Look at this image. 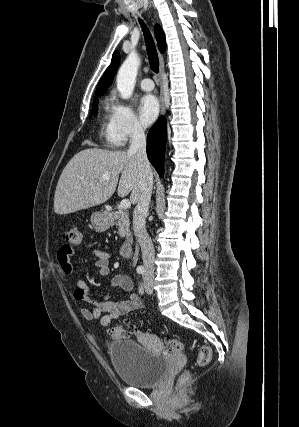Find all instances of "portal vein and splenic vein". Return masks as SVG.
Here are the masks:
<instances>
[{
  "label": "portal vein and splenic vein",
  "mask_w": 299,
  "mask_h": 427,
  "mask_svg": "<svg viewBox=\"0 0 299 427\" xmlns=\"http://www.w3.org/2000/svg\"><path fill=\"white\" fill-rule=\"evenodd\" d=\"M101 178L104 179V180L105 179H109L110 175L109 174H104ZM130 206H131V202L129 200H127V199L121 200V202H120V208L127 209V208H130Z\"/></svg>",
  "instance_id": "portal-vein-and-splenic-vein-1"
}]
</instances>
